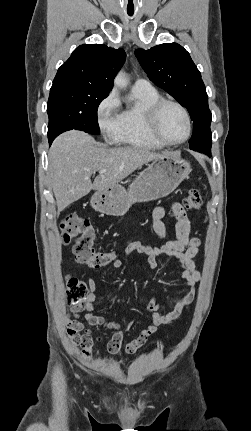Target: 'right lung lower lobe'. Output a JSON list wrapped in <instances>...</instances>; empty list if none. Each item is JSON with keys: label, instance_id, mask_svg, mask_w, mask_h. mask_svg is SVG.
<instances>
[{"label": "right lung lower lobe", "instance_id": "right-lung-lower-lobe-1", "mask_svg": "<svg viewBox=\"0 0 251 431\" xmlns=\"http://www.w3.org/2000/svg\"><path fill=\"white\" fill-rule=\"evenodd\" d=\"M55 139V136H48L49 145L52 144L53 140Z\"/></svg>", "mask_w": 251, "mask_h": 431}]
</instances>
